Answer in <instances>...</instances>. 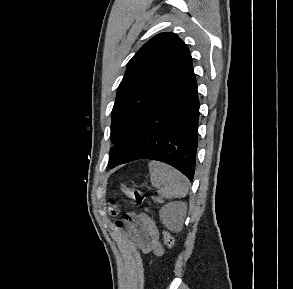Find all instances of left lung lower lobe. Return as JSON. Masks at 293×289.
Returning <instances> with one entry per match:
<instances>
[{"label": "left lung lower lobe", "instance_id": "left-lung-lower-lobe-1", "mask_svg": "<svg viewBox=\"0 0 293 289\" xmlns=\"http://www.w3.org/2000/svg\"><path fill=\"white\" fill-rule=\"evenodd\" d=\"M199 100L193 67L132 124L117 147L126 159L165 162L193 180Z\"/></svg>", "mask_w": 293, "mask_h": 289}]
</instances>
